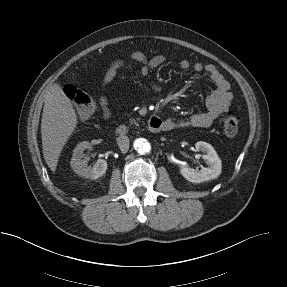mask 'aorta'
Segmentation results:
<instances>
[{"label": "aorta", "instance_id": "obj_1", "mask_svg": "<svg viewBox=\"0 0 287 287\" xmlns=\"http://www.w3.org/2000/svg\"><path fill=\"white\" fill-rule=\"evenodd\" d=\"M133 147L139 154H146L151 150V145L145 138L136 139L133 143Z\"/></svg>", "mask_w": 287, "mask_h": 287}]
</instances>
